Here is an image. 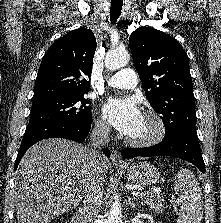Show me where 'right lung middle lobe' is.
<instances>
[{
	"label": "right lung middle lobe",
	"mask_w": 221,
	"mask_h": 223,
	"mask_svg": "<svg viewBox=\"0 0 221 223\" xmlns=\"http://www.w3.org/2000/svg\"><path fill=\"white\" fill-rule=\"evenodd\" d=\"M85 94L76 93L33 101L27 128L52 121L91 123V107L87 106L89 100L85 98Z\"/></svg>",
	"instance_id": "obj_1"
}]
</instances>
